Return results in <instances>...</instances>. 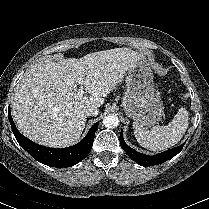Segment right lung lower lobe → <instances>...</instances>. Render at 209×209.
I'll return each mask as SVG.
<instances>
[{"label": "right lung lower lobe", "mask_w": 209, "mask_h": 209, "mask_svg": "<svg viewBox=\"0 0 209 209\" xmlns=\"http://www.w3.org/2000/svg\"><path fill=\"white\" fill-rule=\"evenodd\" d=\"M8 117L14 136L21 147L24 148L38 162L53 167L73 166L86 158L92 148L95 132L98 128V122H96L90 128L86 137L78 144L68 148L54 149L41 146L24 137L18 131L13 122L10 108L8 109Z\"/></svg>", "instance_id": "98d812e1"}]
</instances>
